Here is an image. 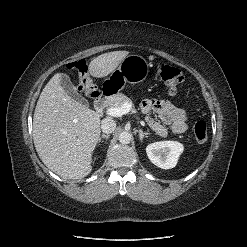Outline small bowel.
<instances>
[{
    "label": "small bowel",
    "instance_id": "1",
    "mask_svg": "<svg viewBox=\"0 0 247 247\" xmlns=\"http://www.w3.org/2000/svg\"><path fill=\"white\" fill-rule=\"evenodd\" d=\"M146 123L159 136L164 137L169 131L182 134L187 130V115L184 109L175 106L166 99H145L141 104ZM152 113H156L160 121Z\"/></svg>",
    "mask_w": 247,
    "mask_h": 247
}]
</instances>
